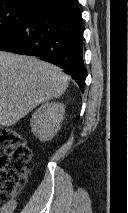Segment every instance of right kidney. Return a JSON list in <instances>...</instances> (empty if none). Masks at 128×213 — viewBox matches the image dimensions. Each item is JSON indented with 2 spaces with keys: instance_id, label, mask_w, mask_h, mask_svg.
I'll list each match as a JSON object with an SVG mask.
<instances>
[{
  "instance_id": "obj_1",
  "label": "right kidney",
  "mask_w": 128,
  "mask_h": 213,
  "mask_svg": "<svg viewBox=\"0 0 128 213\" xmlns=\"http://www.w3.org/2000/svg\"><path fill=\"white\" fill-rule=\"evenodd\" d=\"M65 106L62 103L47 102L42 104L32 115V132L38 136L41 141H48L60 129L63 121Z\"/></svg>"
}]
</instances>
